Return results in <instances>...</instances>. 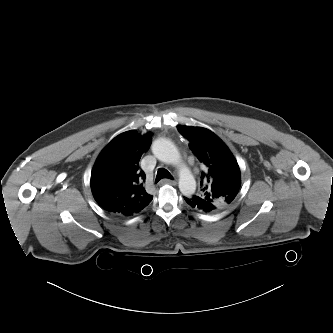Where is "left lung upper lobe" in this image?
I'll return each instance as SVG.
<instances>
[{
    "instance_id": "5c2ea615",
    "label": "left lung upper lobe",
    "mask_w": 333,
    "mask_h": 333,
    "mask_svg": "<svg viewBox=\"0 0 333 333\" xmlns=\"http://www.w3.org/2000/svg\"><path fill=\"white\" fill-rule=\"evenodd\" d=\"M190 142L189 147L206 166L201 174L198 197L213 203L217 209L228 207L241 186L240 169L225 143L212 131L202 127L177 126Z\"/></svg>"
}]
</instances>
